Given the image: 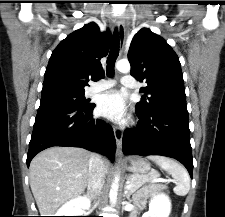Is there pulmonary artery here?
<instances>
[{"instance_id":"1","label":"pulmonary artery","mask_w":225,"mask_h":217,"mask_svg":"<svg viewBox=\"0 0 225 217\" xmlns=\"http://www.w3.org/2000/svg\"><path fill=\"white\" fill-rule=\"evenodd\" d=\"M121 82H122V84L124 86L130 87V88L134 87V85H135L133 79L130 78V77H123ZM114 85H115V81H113V80H104V81H101V82H99L97 84L92 85L88 89L87 94L88 95H93L95 93H98V92L110 89Z\"/></svg>"}]
</instances>
